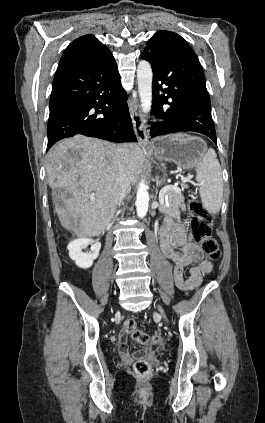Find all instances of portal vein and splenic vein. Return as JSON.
Listing matches in <instances>:
<instances>
[{"label":"portal vein and splenic vein","instance_id":"1","mask_svg":"<svg viewBox=\"0 0 265 423\" xmlns=\"http://www.w3.org/2000/svg\"><path fill=\"white\" fill-rule=\"evenodd\" d=\"M190 179H191V177L188 176V177L182 178L181 180H182V182H187ZM169 190L180 191V189L177 187V185H166L165 187H163L160 190V193H159V203H160V205H163L165 202H166V205H168V203L166 201V193ZM91 200L94 201V198H91Z\"/></svg>","mask_w":265,"mask_h":423}]
</instances>
